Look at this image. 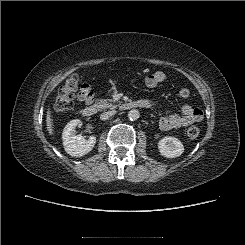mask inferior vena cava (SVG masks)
I'll list each match as a JSON object with an SVG mask.
<instances>
[{
  "mask_svg": "<svg viewBox=\"0 0 245 245\" xmlns=\"http://www.w3.org/2000/svg\"><path fill=\"white\" fill-rule=\"evenodd\" d=\"M116 114V111L115 110H112V111H108V112H105L103 114L100 115V119L101 120H106L108 119L109 117L113 116Z\"/></svg>",
  "mask_w": 245,
  "mask_h": 245,
  "instance_id": "obj_1",
  "label": "inferior vena cava"
}]
</instances>
